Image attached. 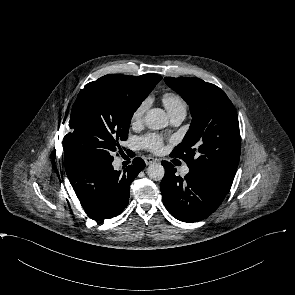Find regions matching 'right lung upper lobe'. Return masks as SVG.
Segmentation results:
<instances>
[{"instance_id": "cb5924a9", "label": "right lung upper lobe", "mask_w": 295, "mask_h": 295, "mask_svg": "<svg viewBox=\"0 0 295 295\" xmlns=\"http://www.w3.org/2000/svg\"><path fill=\"white\" fill-rule=\"evenodd\" d=\"M145 75H147L148 80L151 83L153 88L162 79V77L157 74H145ZM75 167H76V165H73V164H70L69 162H67L66 157H65V170H66L67 176L73 172Z\"/></svg>"}]
</instances>
